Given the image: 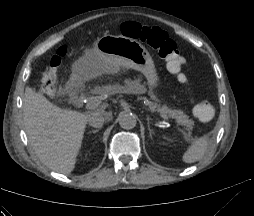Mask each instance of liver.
<instances>
[{"label": "liver", "mask_w": 254, "mask_h": 216, "mask_svg": "<svg viewBox=\"0 0 254 216\" xmlns=\"http://www.w3.org/2000/svg\"><path fill=\"white\" fill-rule=\"evenodd\" d=\"M77 62L72 66L73 75ZM120 69L119 61L107 60L97 74L90 76L81 73L80 77L85 80L104 74H116ZM108 107L109 104L104 103L95 111L79 113L53 105L43 95L26 88L23 121L29 142L40 161L56 172L71 173L75 168L89 117L100 113L111 120L112 111H106Z\"/></svg>", "instance_id": "obj_1"}]
</instances>
